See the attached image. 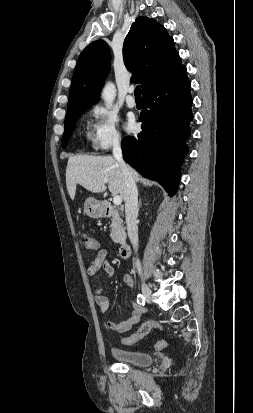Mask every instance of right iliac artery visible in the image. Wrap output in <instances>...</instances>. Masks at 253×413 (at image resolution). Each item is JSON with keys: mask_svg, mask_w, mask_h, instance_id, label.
<instances>
[{"mask_svg": "<svg viewBox=\"0 0 253 413\" xmlns=\"http://www.w3.org/2000/svg\"><path fill=\"white\" fill-rule=\"evenodd\" d=\"M137 303L140 305H144L145 304V297L142 294H138L137 296Z\"/></svg>", "mask_w": 253, "mask_h": 413, "instance_id": "1", "label": "right iliac artery"}]
</instances>
